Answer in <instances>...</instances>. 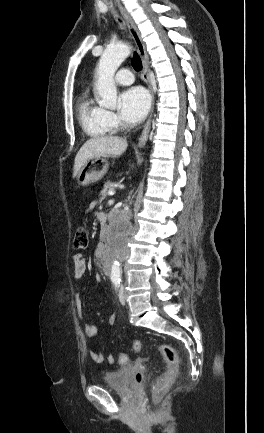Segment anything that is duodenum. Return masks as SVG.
<instances>
[{"label": "duodenum", "instance_id": "obj_1", "mask_svg": "<svg viewBox=\"0 0 264 433\" xmlns=\"http://www.w3.org/2000/svg\"><path fill=\"white\" fill-rule=\"evenodd\" d=\"M100 219L102 220L103 223H106L107 221V217L106 215H100ZM109 245L103 246L99 249V251L97 252V258L100 260L101 258H103V263L105 265V272L107 274L110 273V267H109V262H107V257H109Z\"/></svg>", "mask_w": 264, "mask_h": 433}]
</instances>
